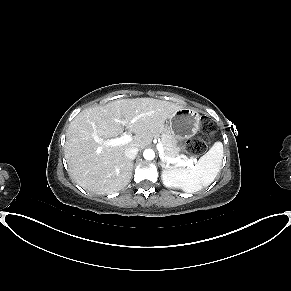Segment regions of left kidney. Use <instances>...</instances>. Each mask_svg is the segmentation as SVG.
Returning a JSON list of instances; mask_svg holds the SVG:
<instances>
[{
  "label": "left kidney",
  "mask_w": 291,
  "mask_h": 291,
  "mask_svg": "<svg viewBox=\"0 0 291 291\" xmlns=\"http://www.w3.org/2000/svg\"><path fill=\"white\" fill-rule=\"evenodd\" d=\"M162 180L166 187H169V188L178 187V185L174 183L166 174H162Z\"/></svg>",
  "instance_id": "1"
}]
</instances>
